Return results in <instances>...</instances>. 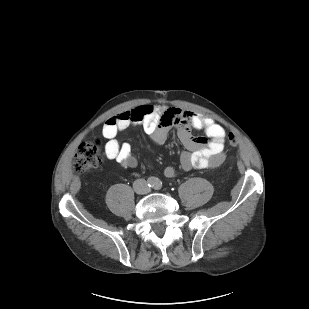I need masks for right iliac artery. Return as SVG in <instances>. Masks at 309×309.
<instances>
[{"mask_svg": "<svg viewBox=\"0 0 309 309\" xmlns=\"http://www.w3.org/2000/svg\"><path fill=\"white\" fill-rule=\"evenodd\" d=\"M154 184H155V180H154L153 178H150V179L148 180V185H149V186H154Z\"/></svg>", "mask_w": 309, "mask_h": 309, "instance_id": "right-iliac-artery-1", "label": "right iliac artery"}]
</instances>
